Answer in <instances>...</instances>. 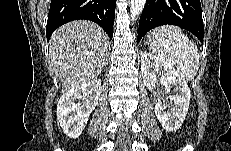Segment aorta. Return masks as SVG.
Here are the masks:
<instances>
[{
    "mask_svg": "<svg viewBox=\"0 0 231 151\" xmlns=\"http://www.w3.org/2000/svg\"><path fill=\"white\" fill-rule=\"evenodd\" d=\"M146 0H131L130 2V17L134 21L142 13Z\"/></svg>",
    "mask_w": 231,
    "mask_h": 151,
    "instance_id": "1",
    "label": "aorta"
}]
</instances>
